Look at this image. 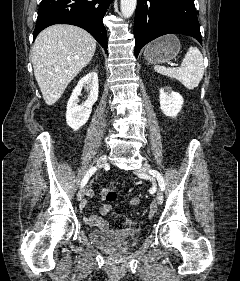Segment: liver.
<instances>
[{
  "instance_id": "obj_1",
  "label": "liver",
  "mask_w": 240,
  "mask_h": 281,
  "mask_svg": "<svg viewBox=\"0 0 240 281\" xmlns=\"http://www.w3.org/2000/svg\"><path fill=\"white\" fill-rule=\"evenodd\" d=\"M95 50L96 40L73 25H52L37 36L31 60L47 105L58 101L68 84L89 64Z\"/></svg>"
}]
</instances>
